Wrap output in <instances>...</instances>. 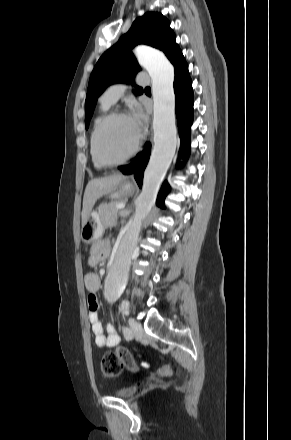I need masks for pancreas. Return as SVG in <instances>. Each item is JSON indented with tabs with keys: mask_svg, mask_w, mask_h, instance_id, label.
Returning a JSON list of instances; mask_svg holds the SVG:
<instances>
[{
	"mask_svg": "<svg viewBox=\"0 0 291 440\" xmlns=\"http://www.w3.org/2000/svg\"><path fill=\"white\" fill-rule=\"evenodd\" d=\"M122 201H113L109 204L103 203L98 207V214L105 228L113 227L117 224L118 212L117 205Z\"/></svg>",
	"mask_w": 291,
	"mask_h": 440,
	"instance_id": "1",
	"label": "pancreas"
}]
</instances>
